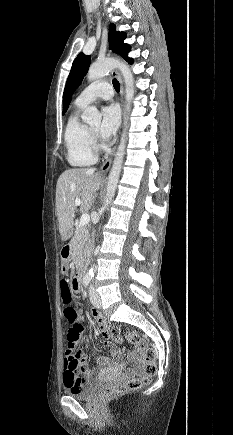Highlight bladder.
I'll use <instances>...</instances> for the list:
<instances>
[{
	"label": "bladder",
	"mask_w": 233,
	"mask_h": 435,
	"mask_svg": "<svg viewBox=\"0 0 233 435\" xmlns=\"http://www.w3.org/2000/svg\"><path fill=\"white\" fill-rule=\"evenodd\" d=\"M100 388V383L97 381L89 382L77 390L69 391L68 394L77 400L91 399Z\"/></svg>",
	"instance_id": "bladder-1"
}]
</instances>
